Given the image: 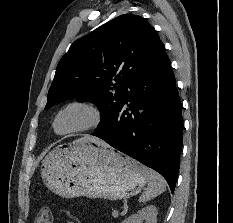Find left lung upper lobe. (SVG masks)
Returning a JSON list of instances; mask_svg holds the SVG:
<instances>
[{
    "label": "left lung upper lobe",
    "mask_w": 233,
    "mask_h": 223,
    "mask_svg": "<svg viewBox=\"0 0 233 223\" xmlns=\"http://www.w3.org/2000/svg\"><path fill=\"white\" fill-rule=\"evenodd\" d=\"M160 39L142 17L124 14L75 41L57 65L45 109L71 98L99 108L98 130L129 98Z\"/></svg>",
    "instance_id": "obj_1"
}]
</instances>
